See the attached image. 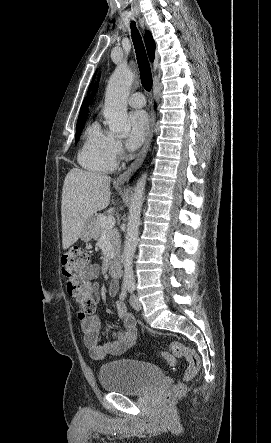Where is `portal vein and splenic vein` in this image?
<instances>
[{
    "label": "portal vein and splenic vein",
    "instance_id": "portal-vein-and-splenic-vein-1",
    "mask_svg": "<svg viewBox=\"0 0 271 443\" xmlns=\"http://www.w3.org/2000/svg\"><path fill=\"white\" fill-rule=\"evenodd\" d=\"M101 225L102 227H106V229H109V227H114L115 218H113V216H104V218H101Z\"/></svg>",
    "mask_w": 271,
    "mask_h": 443
}]
</instances>
